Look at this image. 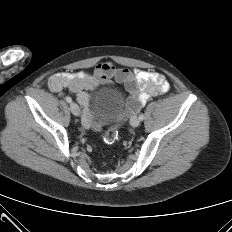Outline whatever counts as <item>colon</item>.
<instances>
[{
	"mask_svg": "<svg viewBox=\"0 0 232 232\" xmlns=\"http://www.w3.org/2000/svg\"><path fill=\"white\" fill-rule=\"evenodd\" d=\"M117 138H118V127H111L105 132L103 136L104 143L108 146L112 145L117 140Z\"/></svg>",
	"mask_w": 232,
	"mask_h": 232,
	"instance_id": "1",
	"label": "colon"
}]
</instances>
